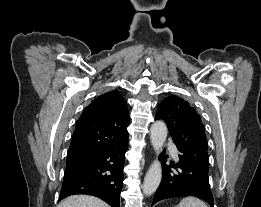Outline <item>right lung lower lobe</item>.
I'll return each instance as SVG.
<instances>
[{
	"label": "right lung lower lobe",
	"mask_w": 261,
	"mask_h": 207,
	"mask_svg": "<svg viewBox=\"0 0 261 207\" xmlns=\"http://www.w3.org/2000/svg\"><path fill=\"white\" fill-rule=\"evenodd\" d=\"M127 148L128 141L118 147L67 161L59 201L74 194H89L112 207H119Z\"/></svg>",
	"instance_id": "obj_1"
}]
</instances>
